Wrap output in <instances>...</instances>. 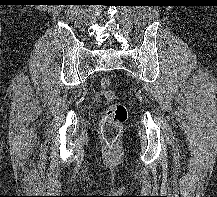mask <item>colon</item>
Instances as JSON below:
<instances>
[{
    "mask_svg": "<svg viewBox=\"0 0 217 197\" xmlns=\"http://www.w3.org/2000/svg\"><path fill=\"white\" fill-rule=\"evenodd\" d=\"M111 84L110 78L100 80V94L108 100L114 99V93L110 90ZM127 117V108L123 104L112 103L107 108L100 126L101 136L107 148L112 149L116 146Z\"/></svg>",
    "mask_w": 217,
    "mask_h": 197,
    "instance_id": "obj_1",
    "label": "colon"
}]
</instances>
